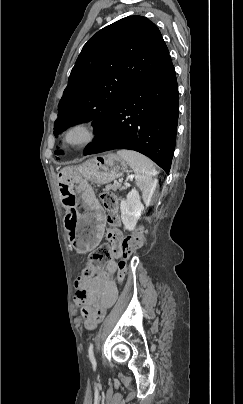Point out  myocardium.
Returning a JSON list of instances; mask_svg holds the SVG:
<instances>
[{
  "mask_svg": "<svg viewBox=\"0 0 243 404\" xmlns=\"http://www.w3.org/2000/svg\"><path fill=\"white\" fill-rule=\"evenodd\" d=\"M82 128L86 131V138L80 143H72L69 141L70 133L77 129ZM98 137V127L96 123L88 118H78L69 122L62 131L61 140L64 146L69 149H85L92 145Z\"/></svg>",
  "mask_w": 243,
  "mask_h": 404,
  "instance_id": "f54148a6",
  "label": "myocardium"
}]
</instances>
